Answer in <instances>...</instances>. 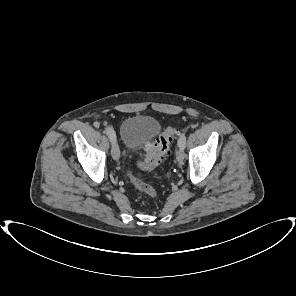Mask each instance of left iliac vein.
Listing matches in <instances>:
<instances>
[{
  "label": "left iliac vein",
  "mask_w": 296,
  "mask_h": 296,
  "mask_svg": "<svg viewBox=\"0 0 296 296\" xmlns=\"http://www.w3.org/2000/svg\"><path fill=\"white\" fill-rule=\"evenodd\" d=\"M185 154H184V148L179 147V149L176 151V159L178 162H182L184 160Z\"/></svg>",
  "instance_id": "1"
}]
</instances>
